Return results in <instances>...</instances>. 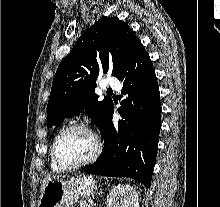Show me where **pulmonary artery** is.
Here are the masks:
<instances>
[{
	"label": "pulmonary artery",
	"instance_id": "e3ab8cb5",
	"mask_svg": "<svg viewBox=\"0 0 220 207\" xmlns=\"http://www.w3.org/2000/svg\"><path fill=\"white\" fill-rule=\"evenodd\" d=\"M120 82L115 78H108L105 80L103 88H111L114 90L120 89Z\"/></svg>",
	"mask_w": 220,
	"mask_h": 207
}]
</instances>
